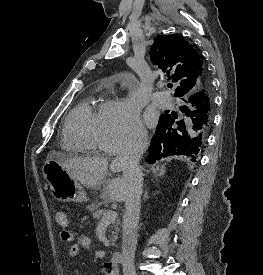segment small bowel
<instances>
[{
	"label": "small bowel",
	"instance_id": "c3829d8e",
	"mask_svg": "<svg viewBox=\"0 0 263 275\" xmlns=\"http://www.w3.org/2000/svg\"><path fill=\"white\" fill-rule=\"evenodd\" d=\"M69 234H70V238L68 240H65L64 237L62 236V232H61V239L64 241V242H70L73 240V234L68 231ZM91 246V239L86 236V235H80L78 238H77V242L72 244L70 247H69V256L70 258L72 259H75L79 256L80 254V251L82 249H88L90 248ZM104 274L105 275H116L117 274V270L114 271V272H110L108 271L107 269H105L104 271Z\"/></svg>",
	"mask_w": 263,
	"mask_h": 275
}]
</instances>
